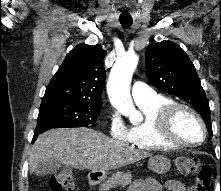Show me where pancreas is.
Masks as SVG:
<instances>
[{
    "instance_id": "pancreas-1",
    "label": "pancreas",
    "mask_w": 221,
    "mask_h": 191,
    "mask_svg": "<svg viewBox=\"0 0 221 191\" xmlns=\"http://www.w3.org/2000/svg\"><path fill=\"white\" fill-rule=\"evenodd\" d=\"M131 179L132 174L130 172H117L112 174L108 180L100 184L99 191H109L116 186L126 187L131 183Z\"/></svg>"
}]
</instances>
